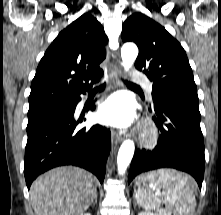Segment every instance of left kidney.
I'll list each match as a JSON object with an SVG mask.
<instances>
[{"label":"left kidney","instance_id":"obj_1","mask_svg":"<svg viewBox=\"0 0 221 215\" xmlns=\"http://www.w3.org/2000/svg\"><path fill=\"white\" fill-rule=\"evenodd\" d=\"M138 215H156L151 212H140Z\"/></svg>","mask_w":221,"mask_h":215}]
</instances>
